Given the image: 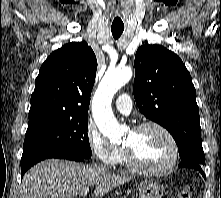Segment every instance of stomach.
<instances>
[{
    "instance_id": "1",
    "label": "stomach",
    "mask_w": 221,
    "mask_h": 198,
    "mask_svg": "<svg viewBox=\"0 0 221 198\" xmlns=\"http://www.w3.org/2000/svg\"><path fill=\"white\" fill-rule=\"evenodd\" d=\"M138 190L139 198H162L164 194L163 185L153 179L142 181L138 186Z\"/></svg>"
}]
</instances>
